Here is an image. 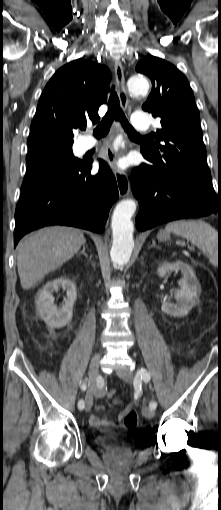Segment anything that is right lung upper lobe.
Segmentation results:
<instances>
[{
  "instance_id": "obj_1",
  "label": "right lung upper lobe",
  "mask_w": 221,
  "mask_h": 510,
  "mask_svg": "<svg viewBox=\"0 0 221 510\" xmlns=\"http://www.w3.org/2000/svg\"><path fill=\"white\" fill-rule=\"evenodd\" d=\"M109 69L84 59L61 67L45 86L31 123L28 152L41 147H72L73 131L99 121L107 101Z\"/></svg>"
}]
</instances>
